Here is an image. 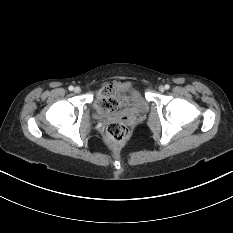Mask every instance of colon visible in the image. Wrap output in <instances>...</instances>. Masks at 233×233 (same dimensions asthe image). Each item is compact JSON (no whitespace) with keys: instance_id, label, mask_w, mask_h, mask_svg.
<instances>
[{"instance_id":"colon-1","label":"colon","mask_w":233,"mask_h":233,"mask_svg":"<svg viewBox=\"0 0 233 233\" xmlns=\"http://www.w3.org/2000/svg\"><path fill=\"white\" fill-rule=\"evenodd\" d=\"M100 94L99 107L109 111L118 107V100L114 96L110 86L103 87ZM129 135V129L124 122L114 121L107 126L105 138L109 145L121 146L128 140Z\"/></svg>"}]
</instances>
